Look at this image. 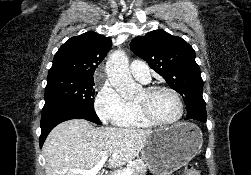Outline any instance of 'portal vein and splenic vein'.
Listing matches in <instances>:
<instances>
[{"label":"portal vein and splenic vein","mask_w":251,"mask_h":175,"mask_svg":"<svg viewBox=\"0 0 251 175\" xmlns=\"http://www.w3.org/2000/svg\"><path fill=\"white\" fill-rule=\"evenodd\" d=\"M108 157L109 155L101 157L97 165H95V167H91V169H72V173H82V175H101L100 169L103 167ZM133 171L134 169H132V167H128V169H125V171H120V173H111V175H132Z\"/></svg>","instance_id":"obj_1"}]
</instances>
